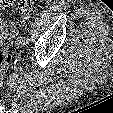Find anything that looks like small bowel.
Instances as JSON below:
<instances>
[{"mask_svg":"<svg viewBox=\"0 0 113 113\" xmlns=\"http://www.w3.org/2000/svg\"><path fill=\"white\" fill-rule=\"evenodd\" d=\"M5 20L0 16V43L5 38Z\"/></svg>","mask_w":113,"mask_h":113,"instance_id":"obj_1","label":"small bowel"}]
</instances>
